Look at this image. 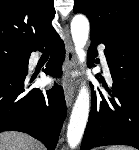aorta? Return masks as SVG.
I'll list each match as a JSON object with an SVG mask.
<instances>
[{"mask_svg":"<svg viewBox=\"0 0 139 150\" xmlns=\"http://www.w3.org/2000/svg\"><path fill=\"white\" fill-rule=\"evenodd\" d=\"M89 28L90 25L86 16L77 14L73 17L71 21V34L75 51L81 64L86 62L84 47L88 40ZM89 106L90 95L88 88L82 86L73 106L67 130L68 144L72 149L76 148L84 134L89 116Z\"/></svg>","mask_w":139,"mask_h":150,"instance_id":"1","label":"aorta"}]
</instances>
